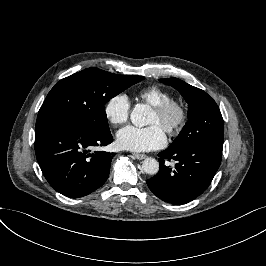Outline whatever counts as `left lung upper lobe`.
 Masks as SVG:
<instances>
[{
  "label": "left lung upper lobe",
  "instance_id": "1",
  "mask_svg": "<svg viewBox=\"0 0 266 266\" xmlns=\"http://www.w3.org/2000/svg\"><path fill=\"white\" fill-rule=\"evenodd\" d=\"M159 81L176 88L189 104L188 121L168 148L177 150L201 141L223 144V118L212 97L178 78Z\"/></svg>",
  "mask_w": 266,
  "mask_h": 266
}]
</instances>
